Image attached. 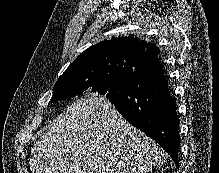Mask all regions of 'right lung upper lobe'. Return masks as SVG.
<instances>
[{
	"instance_id": "cb5924a9",
	"label": "right lung upper lobe",
	"mask_w": 219,
	"mask_h": 173,
	"mask_svg": "<svg viewBox=\"0 0 219 173\" xmlns=\"http://www.w3.org/2000/svg\"><path fill=\"white\" fill-rule=\"evenodd\" d=\"M159 53L154 44L134 36L111 38L82 52L63 74L114 62L127 63L135 69L147 61L159 60Z\"/></svg>"
}]
</instances>
